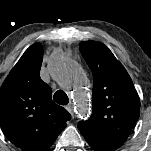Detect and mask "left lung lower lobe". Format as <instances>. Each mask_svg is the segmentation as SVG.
Here are the masks:
<instances>
[{"label": "left lung lower lobe", "instance_id": "obj_1", "mask_svg": "<svg viewBox=\"0 0 151 151\" xmlns=\"http://www.w3.org/2000/svg\"><path fill=\"white\" fill-rule=\"evenodd\" d=\"M84 138L96 151H114L126 141L122 138L91 135H84Z\"/></svg>", "mask_w": 151, "mask_h": 151}]
</instances>
